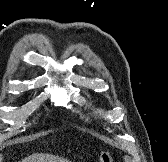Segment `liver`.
<instances>
[{
    "mask_svg": "<svg viewBox=\"0 0 168 162\" xmlns=\"http://www.w3.org/2000/svg\"><path fill=\"white\" fill-rule=\"evenodd\" d=\"M20 162H71L68 159L52 154L36 153L32 154Z\"/></svg>",
    "mask_w": 168,
    "mask_h": 162,
    "instance_id": "liver-1",
    "label": "liver"
}]
</instances>
